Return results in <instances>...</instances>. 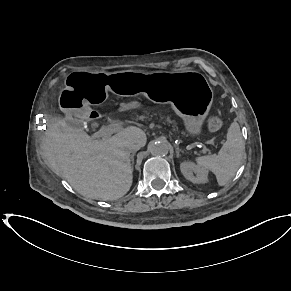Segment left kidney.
I'll list each match as a JSON object with an SVG mask.
<instances>
[{"label": "left kidney", "mask_w": 291, "mask_h": 291, "mask_svg": "<svg viewBox=\"0 0 291 291\" xmlns=\"http://www.w3.org/2000/svg\"><path fill=\"white\" fill-rule=\"evenodd\" d=\"M180 169L184 177L197 184L208 182V171L193 162L185 161L180 165Z\"/></svg>", "instance_id": "1"}]
</instances>
